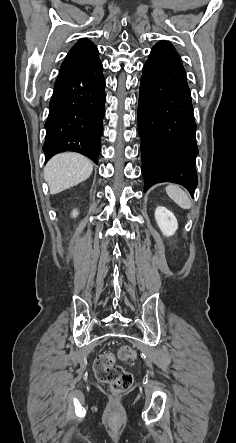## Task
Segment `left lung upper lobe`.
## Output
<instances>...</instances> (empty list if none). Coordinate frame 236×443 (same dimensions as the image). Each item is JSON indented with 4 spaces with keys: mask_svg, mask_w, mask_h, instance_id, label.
<instances>
[{
    "mask_svg": "<svg viewBox=\"0 0 236 443\" xmlns=\"http://www.w3.org/2000/svg\"><path fill=\"white\" fill-rule=\"evenodd\" d=\"M161 43H165V44H170L169 42H167V41H160L159 43H157V44H161ZM171 45V44H170Z\"/></svg>",
    "mask_w": 236,
    "mask_h": 443,
    "instance_id": "left-lung-upper-lobe-1",
    "label": "left lung upper lobe"
}]
</instances>
